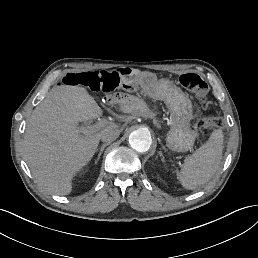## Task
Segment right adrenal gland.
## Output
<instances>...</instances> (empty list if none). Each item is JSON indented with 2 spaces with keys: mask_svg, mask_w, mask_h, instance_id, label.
<instances>
[{
  "mask_svg": "<svg viewBox=\"0 0 258 258\" xmlns=\"http://www.w3.org/2000/svg\"><path fill=\"white\" fill-rule=\"evenodd\" d=\"M107 145H109V142L104 143V144H102L101 146L97 147V150H99V148H101V149H100V151H99V154H98V156H97L95 162H97V161L100 159V156H101V154L103 153V151H104V149L106 148Z\"/></svg>",
  "mask_w": 258,
  "mask_h": 258,
  "instance_id": "1",
  "label": "right adrenal gland"
}]
</instances>
